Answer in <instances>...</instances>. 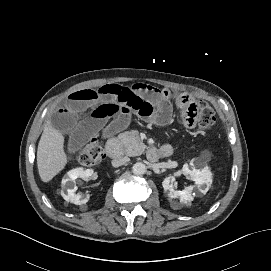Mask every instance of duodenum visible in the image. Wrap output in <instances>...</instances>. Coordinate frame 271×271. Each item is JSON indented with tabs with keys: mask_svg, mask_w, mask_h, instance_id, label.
Instances as JSON below:
<instances>
[{
	"mask_svg": "<svg viewBox=\"0 0 271 271\" xmlns=\"http://www.w3.org/2000/svg\"><path fill=\"white\" fill-rule=\"evenodd\" d=\"M106 152H107V155L112 159H118L122 157L121 146L116 136H110L107 139ZM162 154H163V151H159L156 149L150 150V155L152 157L160 156Z\"/></svg>",
	"mask_w": 271,
	"mask_h": 271,
	"instance_id": "obj_1",
	"label": "duodenum"
}]
</instances>
